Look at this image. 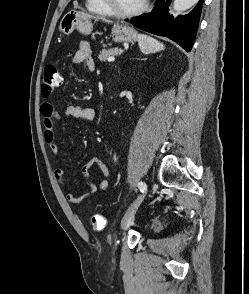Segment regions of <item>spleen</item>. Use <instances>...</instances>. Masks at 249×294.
<instances>
[{"instance_id":"3e777b00","label":"spleen","mask_w":249,"mask_h":294,"mask_svg":"<svg viewBox=\"0 0 249 294\" xmlns=\"http://www.w3.org/2000/svg\"><path fill=\"white\" fill-rule=\"evenodd\" d=\"M138 44L144 54L156 53L164 49L163 43L145 34L138 35Z\"/></svg>"}]
</instances>
